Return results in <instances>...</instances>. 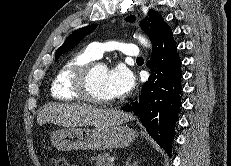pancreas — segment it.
I'll list each match as a JSON object with an SVG mask.
<instances>
[{
  "label": "pancreas",
  "mask_w": 231,
  "mask_h": 166,
  "mask_svg": "<svg viewBox=\"0 0 231 166\" xmlns=\"http://www.w3.org/2000/svg\"><path fill=\"white\" fill-rule=\"evenodd\" d=\"M110 158L109 153H103L95 155L92 159L95 161L96 166H113V163H110L108 159Z\"/></svg>",
  "instance_id": "obj_1"
}]
</instances>
